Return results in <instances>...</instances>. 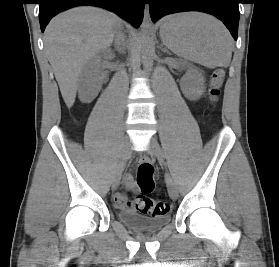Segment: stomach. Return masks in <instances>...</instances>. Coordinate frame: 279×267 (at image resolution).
Listing matches in <instances>:
<instances>
[{"label":"stomach","mask_w":279,"mask_h":267,"mask_svg":"<svg viewBox=\"0 0 279 267\" xmlns=\"http://www.w3.org/2000/svg\"><path fill=\"white\" fill-rule=\"evenodd\" d=\"M170 20H171V17L166 18V19L164 20V22H163V25L166 24V23H169Z\"/></svg>","instance_id":"1"}]
</instances>
